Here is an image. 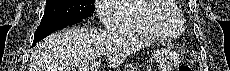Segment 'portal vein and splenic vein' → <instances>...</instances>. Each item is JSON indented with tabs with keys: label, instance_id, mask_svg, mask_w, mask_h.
Returning <instances> with one entry per match:
<instances>
[{
	"label": "portal vein and splenic vein",
	"instance_id": "portal-vein-and-splenic-vein-1",
	"mask_svg": "<svg viewBox=\"0 0 230 71\" xmlns=\"http://www.w3.org/2000/svg\"><path fill=\"white\" fill-rule=\"evenodd\" d=\"M97 66H98V63L94 62V64L90 68L83 67V68H80L79 70L80 71H97L98 70Z\"/></svg>",
	"mask_w": 230,
	"mask_h": 71
}]
</instances>
